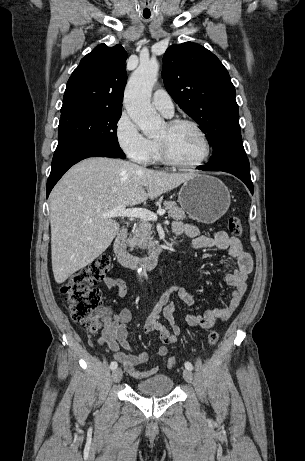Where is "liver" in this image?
<instances>
[{
    "label": "liver",
    "mask_w": 305,
    "mask_h": 461,
    "mask_svg": "<svg viewBox=\"0 0 305 461\" xmlns=\"http://www.w3.org/2000/svg\"><path fill=\"white\" fill-rule=\"evenodd\" d=\"M192 176L102 157L85 159L69 169L50 194L55 281L65 282L111 244L119 225L111 218H101L103 213L153 200Z\"/></svg>",
    "instance_id": "1"
}]
</instances>
